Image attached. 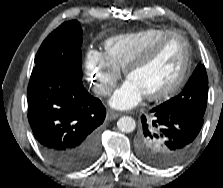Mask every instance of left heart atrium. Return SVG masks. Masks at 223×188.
Returning a JSON list of instances; mask_svg holds the SVG:
<instances>
[{
    "mask_svg": "<svg viewBox=\"0 0 223 188\" xmlns=\"http://www.w3.org/2000/svg\"><path fill=\"white\" fill-rule=\"evenodd\" d=\"M144 93L131 81L127 80L110 99V104L117 109H130L143 98Z\"/></svg>",
    "mask_w": 223,
    "mask_h": 188,
    "instance_id": "39dd6f15",
    "label": "left heart atrium"
}]
</instances>
